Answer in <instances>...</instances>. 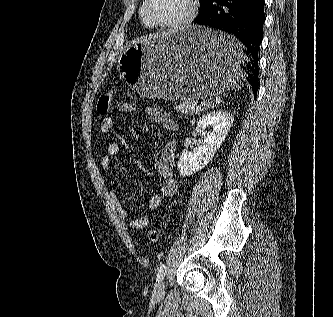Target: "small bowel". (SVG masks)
Here are the masks:
<instances>
[{
	"mask_svg": "<svg viewBox=\"0 0 333 317\" xmlns=\"http://www.w3.org/2000/svg\"><path fill=\"white\" fill-rule=\"evenodd\" d=\"M117 110L121 113H131L136 110V105L132 102H121L117 106ZM146 112L151 118L166 129L175 132L177 125L172 117L165 111L149 107ZM115 124L112 116L103 118L100 122L99 131L101 136H106ZM120 153V147L116 143H111L107 147L106 154L101 157V166L105 170H110L112 167V158ZM176 153V143L172 139L164 146L159 159L154 163V168L161 177V193L153 194L147 203L149 214L140 215L137 218L131 219L128 217L126 210L122 206L114 190L110 191L112 202L117 210L118 215L125 221L131 229L140 230L147 227L150 223L151 216L156 213L163 204V198L173 197L177 194L178 184L173 174V166Z\"/></svg>",
	"mask_w": 333,
	"mask_h": 317,
	"instance_id": "1",
	"label": "small bowel"
}]
</instances>
